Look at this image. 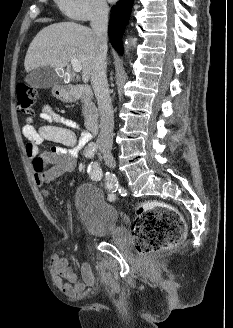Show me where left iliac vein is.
<instances>
[{"instance_id":"obj_1","label":"left iliac vein","mask_w":233,"mask_h":328,"mask_svg":"<svg viewBox=\"0 0 233 328\" xmlns=\"http://www.w3.org/2000/svg\"><path fill=\"white\" fill-rule=\"evenodd\" d=\"M103 159L110 168H115V159L109 151H103Z\"/></svg>"}]
</instances>
